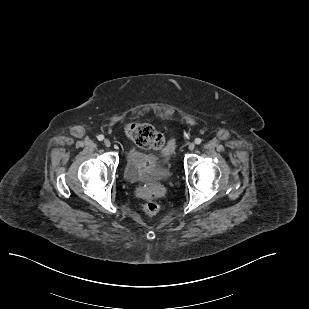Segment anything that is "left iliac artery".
Masks as SVG:
<instances>
[{
    "label": "left iliac artery",
    "mask_w": 309,
    "mask_h": 309,
    "mask_svg": "<svg viewBox=\"0 0 309 309\" xmlns=\"http://www.w3.org/2000/svg\"><path fill=\"white\" fill-rule=\"evenodd\" d=\"M201 142H202V140H201L200 138H196V139H195V144L198 145V144H200Z\"/></svg>",
    "instance_id": "1"
}]
</instances>
